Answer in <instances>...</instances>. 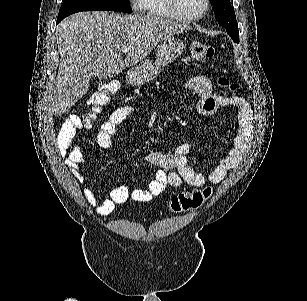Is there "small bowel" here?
Returning <instances> with one entry per match:
<instances>
[{
	"label": "small bowel",
	"instance_id": "c3829d8e",
	"mask_svg": "<svg viewBox=\"0 0 307 301\" xmlns=\"http://www.w3.org/2000/svg\"><path fill=\"white\" fill-rule=\"evenodd\" d=\"M187 88L198 98L197 109L205 115L214 114L218 108H232L236 112V132L232 147L214 166L208 176L195 172L188 165V155L192 150L191 143L178 145L173 154L159 151L150 152L146 160L159 170L155 179L145 189H135L132 192L126 186H117L109 189L106 197L98 196L92 189L84 188L83 195L88 203L96 207L100 216L109 215L117 204L128 199L138 202H148L161 194L166 187H179L187 183L194 187L203 186L207 180L212 183L221 182L227 173L236 168L241 162L252 133V110L249 103L239 96H222L213 91L209 79L205 76H196L187 83ZM133 108L128 105L116 108L109 118L101 125L97 134V143L108 149L112 146V136L132 114ZM82 124L79 116H70L62 125L57 137V147L66 166L71 170L78 182H83L80 166L85 162L78 145L73 144L77 132Z\"/></svg>",
	"mask_w": 307,
	"mask_h": 301
}]
</instances>
